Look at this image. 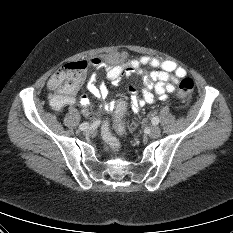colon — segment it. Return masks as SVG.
<instances>
[{
  "label": "colon",
  "instance_id": "5ec220e1",
  "mask_svg": "<svg viewBox=\"0 0 233 233\" xmlns=\"http://www.w3.org/2000/svg\"><path fill=\"white\" fill-rule=\"evenodd\" d=\"M89 63L87 61L70 62L63 65L53 74L55 86L67 92L77 90L85 76ZM194 81L191 78H183L177 87V96L185 98L194 90ZM115 116L113 122L107 120L103 123L102 133L106 144L114 151L118 152L120 143L118 136L125 134L124 115L126 112V102L123 99L115 101L113 106Z\"/></svg>",
  "mask_w": 233,
  "mask_h": 233
}]
</instances>
